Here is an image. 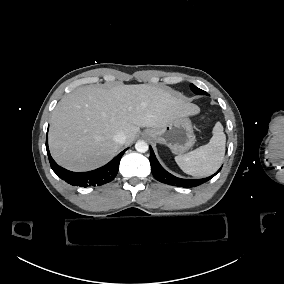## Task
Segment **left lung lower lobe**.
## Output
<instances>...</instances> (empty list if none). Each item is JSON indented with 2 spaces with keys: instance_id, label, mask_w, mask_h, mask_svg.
Listing matches in <instances>:
<instances>
[{
  "instance_id": "1",
  "label": "left lung lower lobe",
  "mask_w": 284,
  "mask_h": 284,
  "mask_svg": "<svg viewBox=\"0 0 284 284\" xmlns=\"http://www.w3.org/2000/svg\"><path fill=\"white\" fill-rule=\"evenodd\" d=\"M150 164H151V172L153 176L155 177V179H157L160 182L173 185V186H179V187H195V186L201 185L205 181L210 180L221 170L220 168L214 175L208 178H203V179H198V180L181 179V178L175 177L172 174L168 173L159 164L151 147H150Z\"/></svg>"
}]
</instances>
